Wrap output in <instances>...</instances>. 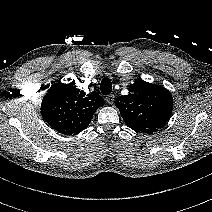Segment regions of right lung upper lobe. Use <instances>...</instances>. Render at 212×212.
<instances>
[{"instance_id":"right-lung-upper-lobe-1","label":"right lung upper lobe","mask_w":212,"mask_h":212,"mask_svg":"<svg viewBox=\"0 0 212 212\" xmlns=\"http://www.w3.org/2000/svg\"><path fill=\"white\" fill-rule=\"evenodd\" d=\"M70 84L51 86L44 96L41 112L45 121L59 133L72 135L86 129L104 99L93 92L86 94Z\"/></svg>"}]
</instances>
